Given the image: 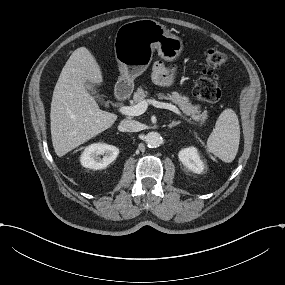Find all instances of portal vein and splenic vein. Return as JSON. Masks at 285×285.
I'll use <instances>...</instances> for the list:
<instances>
[{
  "mask_svg": "<svg viewBox=\"0 0 285 285\" xmlns=\"http://www.w3.org/2000/svg\"><path fill=\"white\" fill-rule=\"evenodd\" d=\"M148 104H152L156 108L168 109L178 115H181L180 110L175 105L159 102L154 99L143 100L134 106H123L119 111L128 116H139L147 110Z\"/></svg>",
  "mask_w": 285,
  "mask_h": 285,
  "instance_id": "obj_1",
  "label": "portal vein and splenic vein"
}]
</instances>
